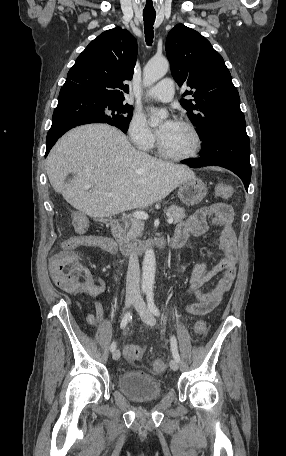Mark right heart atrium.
Wrapping results in <instances>:
<instances>
[{"mask_svg": "<svg viewBox=\"0 0 286 456\" xmlns=\"http://www.w3.org/2000/svg\"><path fill=\"white\" fill-rule=\"evenodd\" d=\"M128 135L131 142L141 150H149L155 144V135L150 129L145 116L135 112L128 124Z\"/></svg>", "mask_w": 286, "mask_h": 456, "instance_id": "d8ad5b80", "label": "right heart atrium"}]
</instances>
